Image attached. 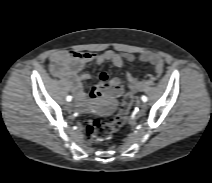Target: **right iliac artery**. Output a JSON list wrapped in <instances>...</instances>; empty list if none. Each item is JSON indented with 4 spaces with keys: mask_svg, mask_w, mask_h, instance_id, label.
Returning a JSON list of instances; mask_svg holds the SVG:
<instances>
[{
    "mask_svg": "<svg viewBox=\"0 0 212 183\" xmlns=\"http://www.w3.org/2000/svg\"><path fill=\"white\" fill-rule=\"evenodd\" d=\"M66 100H67V101H71V100H72V96H67V97H66Z\"/></svg>",
    "mask_w": 212,
    "mask_h": 183,
    "instance_id": "right-iliac-artery-1",
    "label": "right iliac artery"
}]
</instances>
